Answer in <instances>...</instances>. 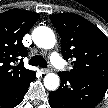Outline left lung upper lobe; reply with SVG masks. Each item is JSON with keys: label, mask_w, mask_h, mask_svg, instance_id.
Here are the masks:
<instances>
[{"label": "left lung upper lobe", "mask_w": 108, "mask_h": 108, "mask_svg": "<svg viewBox=\"0 0 108 108\" xmlns=\"http://www.w3.org/2000/svg\"><path fill=\"white\" fill-rule=\"evenodd\" d=\"M61 37L65 60H73V69L63 72L75 76L108 81V38L94 24L73 13L51 15Z\"/></svg>", "instance_id": "5c2ea615"}]
</instances>
